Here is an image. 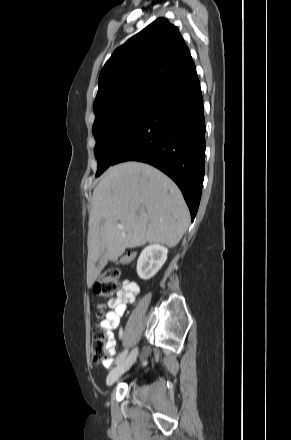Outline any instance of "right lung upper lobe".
<instances>
[{"label": "right lung upper lobe", "mask_w": 291, "mask_h": 440, "mask_svg": "<svg viewBox=\"0 0 291 440\" xmlns=\"http://www.w3.org/2000/svg\"><path fill=\"white\" fill-rule=\"evenodd\" d=\"M194 70L178 28L158 18L117 48L106 62L93 109L139 96L155 97Z\"/></svg>", "instance_id": "right-lung-upper-lobe-1"}]
</instances>
